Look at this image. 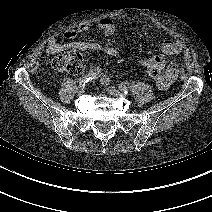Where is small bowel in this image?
Instances as JSON below:
<instances>
[{
  "label": "small bowel",
  "instance_id": "c3829d8e",
  "mask_svg": "<svg viewBox=\"0 0 212 212\" xmlns=\"http://www.w3.org/2000/svg\"><path fill=\"white\" fill-rule=\"evenodd\" d=\"M97 26L101 29L105 37H111L115 32V25L109 18H102L97 22ZM92 26L88 23L80 24L76 29L67 30L63 33L64 39L67 42H58L56 39L51 38L45 48V51L49 54H56L67 50H82V51H97L104 54L99 59L117 58L119 56V50L114 47L104 46L94 42L88 41H76L75 39L80 33L89 31ZM163 54L168 56L178 55L183 50V45L178 40H166L161 45ZM141 65L147 67L150 64H156L160 67H165V59L162 56H152L143 59ZM178 66L174 62H170L166 66L164 73V79L158 81V85L161 89H168L177 77Z\"/></svg>",
  "mask_w": 212,
  "mask_h": 212
}]
</instances>
